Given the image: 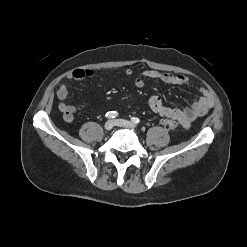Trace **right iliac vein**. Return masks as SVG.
<instances>
[{
    "instance_id": "right-iliac-vein-1",
    "label": "right iliac vein",
    "mask_w": 247,
    "mask_h": 247,
    "mask_svg": "<svg viewBox=\"0 0 247 247\" xmlns=\"http://www.w3.org/2000/svg\"><path fill=\"white\" fill-rule=\"evenodd\" d=\"M114 126V122L112 120H108L105 124H104V128L105 130L109 131L113 128Z\"/></svg>"
}]
</instances>
